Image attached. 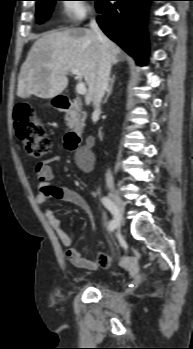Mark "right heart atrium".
<instances>
[{
    "mask_svg": "<svg viewBox=\"0 0 193 349\" xmlns=\"http://www.w3.org/2000/svg\"><path fill=\"white\" fill-rule=\"evenodd\" d=\"M62 7L64 19L68 23L80 22L91 12V5L83 0H65Z\"/></svg>",
    "mask_w": 193,
    "mask_h": 349,
    "instance_id": "1",
    "label": "right heart atrium"
}]
</instances>
